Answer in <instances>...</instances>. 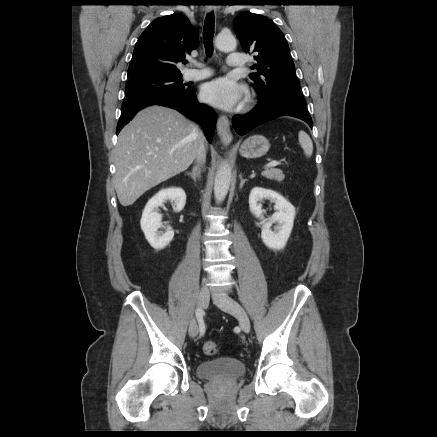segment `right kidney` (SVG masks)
Listing matches in <instances>:
<instances>
[{
    "label": "right kidney",
    "mask_w": 437,
    "mask_h": 437,
    "mask_svg": "<svg viewBox=\"0 0 437 437\" xmlns=\"http://www.w3.org/2000/svg\"><path fill=\"white\" fill-rule=\"evenodd\" d=\"M167 200L171 201L175 212H180L185 206L186 194L182 188L176 187L160 190L146 204L140 221L146 240L156 250L164 249L174 237V231L170 226H167L165 233L158 231L163 227L158 207L163 206Z\"/></svg>",
    "instance_id": "ca27d5eb"
}]
</instances>
